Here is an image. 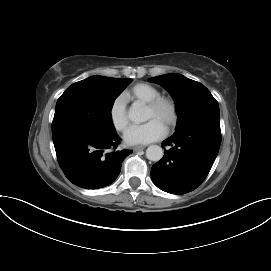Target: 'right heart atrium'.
Wrapping results in <instances>:
<instances>
[{
	"instance_id": "right-heart-atrium-1",
	"label": "right heart atrium",
	"mask_w": 271,
	"mask_h": 271,
	"mask_svg": "<svg viewBox=\"0 0 271 271\" xmlns=\"http://www.w3.org/2000/svg\"><path fill=\"white\" fill-rule=\"evenodd\" d=\"M109 118L112 126L117 131H124L129 119L126 108V101L122 95L114 98L109 108Z\"/></svg>"
}]
</instances>
